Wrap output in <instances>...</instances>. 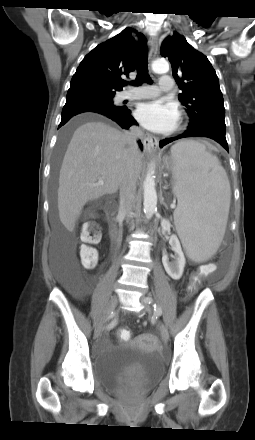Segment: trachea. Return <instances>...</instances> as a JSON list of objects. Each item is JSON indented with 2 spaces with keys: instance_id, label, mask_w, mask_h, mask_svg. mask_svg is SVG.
<instances>
[{
  "instance_id": "1",
  "label": "trachea",
  "mask_w": 255,
  "mask_h": 440,
  "mask_svg": "<svg viewBox=\"0 0 255 440\" xmlns=\"http://www.w3.org/2000/svg\"><path fill=\"white\" fill-rule=\"evenodd\" d=\"M144 82H151V78L148 74V60L146 53L141 55L137 61V77L135 81H132V85L140 86ZM126 84V82L123 83V85Z\"/></svg>"
}]
</instances>
